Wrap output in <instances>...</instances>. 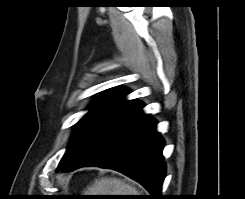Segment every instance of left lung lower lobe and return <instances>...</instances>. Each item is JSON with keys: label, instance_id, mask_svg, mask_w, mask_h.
I'll list each match as a JSON object with an SVG mask.
<instances>
[{"label": "left lung lower lobe", "instance_id": "obj_1", "mask_svg": "<svg viewBox=\"0 0 245 199\" xmlns=\"http://www.w3.org/2000/svg\"><path fill=\"white\" fill-rule=\"evenodd\" d=\"M142 108L136 101L109 122L64 172L84 166L111 168L141 183L151 199H161L164 141L156 131V121Z\"/></svg>", "mask_w": 245, "mask_h": 199}]
</instances>
